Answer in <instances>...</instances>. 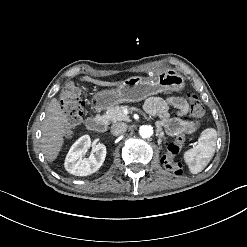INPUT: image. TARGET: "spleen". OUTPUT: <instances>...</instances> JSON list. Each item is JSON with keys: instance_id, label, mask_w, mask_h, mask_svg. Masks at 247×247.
Segmentation results:
<instances>
[{"instance_id": "obj_1", "label": "spleen", "mask_w": 247, "mask_h": 247, "mask_svg": "<svg viewBox=\"0 0 247 247\" xmlns=\"http://www.w3.org/2000/svg\"><path fill=\"white\" fill-rule=\"evenodd\" d=\"M199 140L197 146L184 154V160L193 174L201 172L211 160L216 146L217 131L207 128L202 131Z\"/></svg>"}]
</instances>
